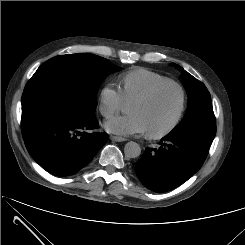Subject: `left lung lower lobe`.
I'll return each mask as SVG.
<instances>
[{"label":"left lung lower lobe","mask_w":245,"mask_h":245,"mask_svg":"<svg viewBox=\"0 0 245 245\" xmlns=\"http://www.w3.org/2000/svg\"><path fill=\"white\" fill-rule=\"evenodd\" d=\"M158 149L146 148L135 164L144 186L157 193L169 191L191 178L204 163L210 145L191 136H165Z\"/></svg>","instance_id":"left-lung-lower-lobe-1"}]
</instances>
